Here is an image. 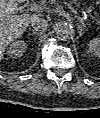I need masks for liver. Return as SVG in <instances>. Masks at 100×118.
<instances>
[{
  "instance_id": "1",
  "label": "liver",
  "mask_w": 100,
  "mask_h": 118,
  "mask_svg": "<svg viewBox=\"0 0 100 118\" xmlns=\"http://www.w3.org/2000/svg\"><path fill=\"white\" fill-rule=\"evenodd\" d=\"M26 0H0V56L3 59L6 47L15 39L21 37L31 20L39 17L37 14L18 15L17 2Z\"/></svg>"
}]
</instances>
